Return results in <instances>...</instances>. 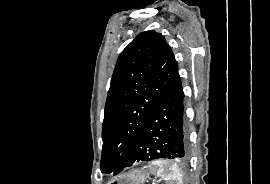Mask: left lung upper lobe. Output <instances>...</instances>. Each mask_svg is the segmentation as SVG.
<instances>
[{
  "instance_id": "5c2ea615",
  "label": "left lung upper lobe",
  "mask_w": 270,
  "mask_h": 184,
  "mask_svg": "<svg viewBox=\"0 0 270 184\" xmlns=\"http://www.w3.org/2000/svg\"><path fill=\"white\" fill-rule=\"evenodd\" d=\"M178 72L164 36L140 33L120 54L111 79L102 128V173H117Z\"/></svg>"
}]
</instances>
